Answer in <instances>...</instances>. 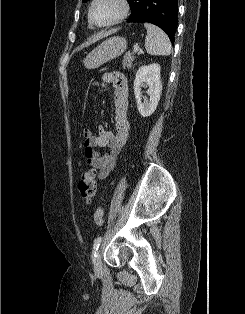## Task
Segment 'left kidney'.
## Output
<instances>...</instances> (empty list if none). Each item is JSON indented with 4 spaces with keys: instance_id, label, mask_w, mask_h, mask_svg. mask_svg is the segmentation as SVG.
Returning <instances> with one entry per match:
<instances>
[{
    "instance_id": "5707ae66",
    "label": "left kidney",
    "mask_w": 245,
    "mask_h": 314,
    "mask_svg": "<svg viewBox=\"0 0 245 314\" xmlns=\"http://www.w3.org/2000/svg\"><path fill=\"white\" fill-rule=\"evenodd\" d=\"M160 65L151 64L148 66H142L138 69L134 80V94L137 102V108L141 116L149 117L154 113L157 108L162 92V83L160 80ZM148 87L147 97H143L141 87Z\"/></svg>"
}]
</instances>
